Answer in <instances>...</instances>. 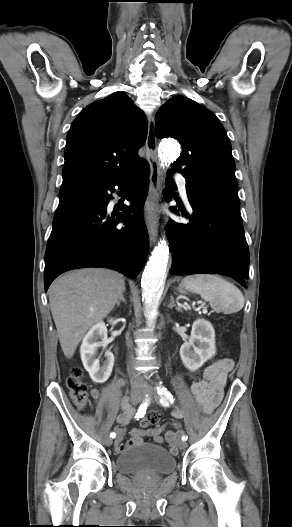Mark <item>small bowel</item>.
Returning <instances> with one entry per match:
<instances>
[{"mask_svg":"<svg viewBox=\"0 0 292 527\" xmlns=\"http://www.w3.org/2000/svg\"><path fill=\"white\" fill-rule=\"evenodd\" d=\"M233 367L231 359H223L214 365L209 366L205 370L204 379L201 381L194 382L191 385V392L196 398L197 403L205 413H211L220 403L223 396V388L226 383L227 374ZM92 397L97 399L99 397V391L94 389L91 392ZM134 414V409L129 405L127 399L122 400V412L118 416L119 427L116 428L118 438L115 441V450L122 452L128 447L138 445L142 443L144 436L152 437L156 443H162L166 439L167 443L171 446L173 454H177V443L178 434L174 431L164 432L165 426H159L156 428L141 430L135 428L132 430V437L126 443H122L126 426ZM174 416L179 418L181 416L180 411H175ZM175 427H179V424H175ZM163 433V434H162Z\"/></svg>","mask_w":292,"mask_h":527,"instance_id":"small-bowel-1","label":"small bowel"}]
</instances>
